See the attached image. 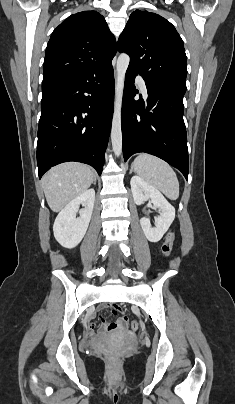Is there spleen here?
<instances>
[{
	"mask_svg": "<svg viewBox=\"0 0 235 404\" xmlns=\"http://www.w3.org/2000/svg\"><path fill=\"white\" fill-rule=\"evenodd\" d=\"M132 166L137 174L150 185L159 189L171 200L179 197V182L171 166L162 159L147 154H140Z\"/></svg>",
	"mask_w": 235,
	"mask_h": 404,
	"instance_id": "3e777b00",
	"label": "spleen"
}]
</instances>
